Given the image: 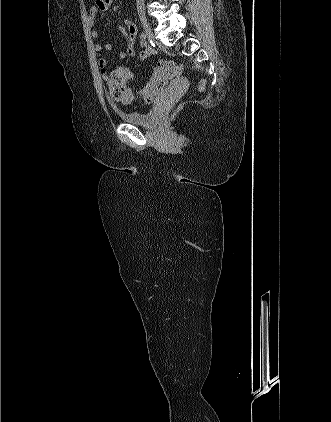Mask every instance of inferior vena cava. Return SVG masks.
<instances>
[{
	"label": "inferior vena cava",
	"instance_id": "inferior-vena-cava-1",
	"mask_svg": "<svg viewBox=\"0 0 331 422\" xmlns=\"http://www.w3.org/2000/svg\"><path fill=\"white\" fill-rule=\"evenodd\" d=\"M136 3H137V9H138V10L143 9V6H144V0H136Z\"/></svg>",
	"mask_w": 331,
	"mask_h": 422
}]
</instances>
